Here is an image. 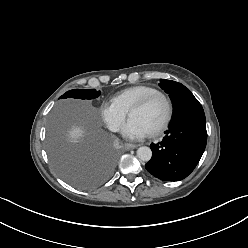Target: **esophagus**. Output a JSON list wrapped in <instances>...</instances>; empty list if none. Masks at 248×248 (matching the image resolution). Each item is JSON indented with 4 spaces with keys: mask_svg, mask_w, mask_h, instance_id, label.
Instances as JSON below:
<instances>
[{
    "mask_svg": "<svg viewBox=\"0 0 248 248\" xmlns=\"http://www.w3.org/2000/svg\"><path fill=\"white\" fill-rule=\"evenodd\" d=\"M124 147H125V149H127V150H131V149H136V148L138 147V145L126 143V144L124 145Z\"/></svg>",
    "mask_w": 248,
    "mask_h": 248,
    "instance_id": "34e87169",
    "label": "esophagus"
}]
</instances>
